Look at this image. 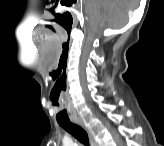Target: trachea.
Segmentation results:
<instances>
[{"label":"trachea","instance_id":"3493384b","mask_svg":"<svg viewBox=\"0 0 164 146\" xmlns=\"http://www.w3.org/2000/svg\"><path fill=\"white\" fill-rule=\"evenodd\" d=\"M59 125L64 128L68 133H70L73 137H75L79 142L84 145H88V135L81 126L74 124L69 120L59 122Z\"/></svg>","mask_w":164,"mask_h":146}]
</instances>
